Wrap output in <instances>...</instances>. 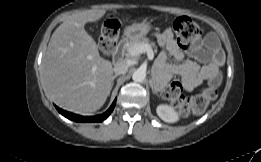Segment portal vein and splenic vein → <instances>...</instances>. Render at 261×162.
Listing matches in <instances>:
<instances>
[{
	"mask_svg": "<svg viewBox=\"0 0 261 162\" xmlns=\"http://www.w3.org/2000/svg\"><path fill=\"white\" fill-rule=\"evenodd\" d=\"M142 53H147L148 59L153 60L154 52H153L151 46L148 44H138L128 50V54L130 56H138Z\"/></svg>",
	"mask_w": 261,
	"mask_h": 162,
	"instance_id": "18ae733b",
	"label": "portal vein and splenic vein"
}]
</instances>
